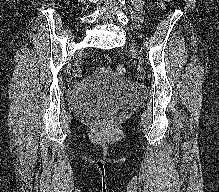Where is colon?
Instances as JSON below:
<instances>
[{"label": "colon", "instance_id": "obj_1", "mask_svg": "<svg viewBox=\"0 0 219 192\" xmlns=\"http://www.w3.org/2000/svg\"><path fill=\"white\" fill-rule=\"evenodd\" d=\"M171 0H163V3L166 4ZM115 72L118 76H124L126 74V67L122 64L118 65L115 69Z\"/></svg>", "mask_w": 219, "mask_h": 192}]
</instances>
